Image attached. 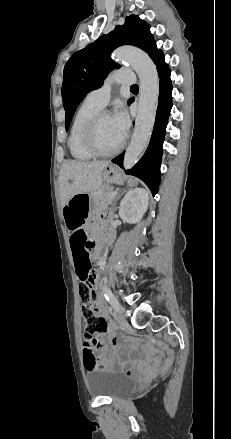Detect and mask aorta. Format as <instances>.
<instances>
[{"label": "aorta", "instance_id": "aorta-1", "mask_svg": "<svg viewBox=\"0 0 231 439\" xmlns=\"http://www.w3.org/2000/svg\"><path fill=\"white\" fill-rule=\"evenodd\" d=\"M117 61L129 63L140 80V96L135 128L123 160L125 169H131L140 159L155 123L159 99V77L155 64L143 51L121 47L114 51Z\"/></svg>", "mask_w": 231, "mask_h": 439}]
</instances>
